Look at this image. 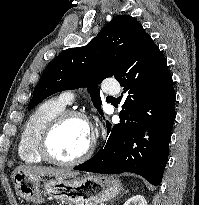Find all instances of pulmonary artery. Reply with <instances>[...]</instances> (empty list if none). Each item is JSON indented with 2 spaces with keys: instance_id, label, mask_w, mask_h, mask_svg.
<instances>
[{
  "instance_id": "obj_1",
  "label": "pulmonary artery",
  "mask_w": 199,
  "mask_h": 205,
  "mask_svg": "<svg viewBox=\"0 0 199 205\" xmlns=\"http://www.w3.org/2000/svg\"><path fill=\"white\" fill-rule=\"evenodd\" d=\"M103 90L108 94H116L119 90L117 85L114 86H104ZM76 93L74 91L68 90L62 93L61 99L65 104H71L75 99Z\"/></svg>"
}]
</instances>
